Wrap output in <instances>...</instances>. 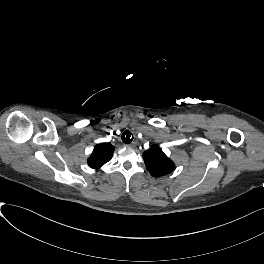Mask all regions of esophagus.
Here are the masks:
<instances>
[{
  "label": "esophagus",
  "instance_id": "34e87169",
  "mask_svg": "<svg viewBox=\"0 0 264 264\" xmlns=\"http://www.w3.org/2000/svg\"><path fill=\"white\" fill-rule=\"evenodd\" d=\"M125 146L134 147L135 146V142H131L130 144H126Z\"/></svg>",
  "mask_w": 264,
  "mask_h": 264
}]
</instances>
